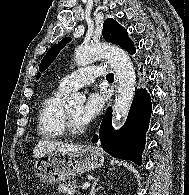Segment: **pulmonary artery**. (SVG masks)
<instances>
[{
	"label": "pulmonary artery",
	"mask_w": 189,
	"mask_h": 195,
	"mask_svg": "<svg viewBox=\"0 0 189 195\" xmlns=\"http://www.w3.org/2000/svg\"><path fill=\"white\" fill-rule=\"evenodd\" d=\"M103 71L104 69L100 65L74 70L60 80L59 86L67 91H72L83 86H88L94 82L95 79L104 77Z\"/></svg>",
	"instance_id": "e3ab8cb5"
}]
</instances>
